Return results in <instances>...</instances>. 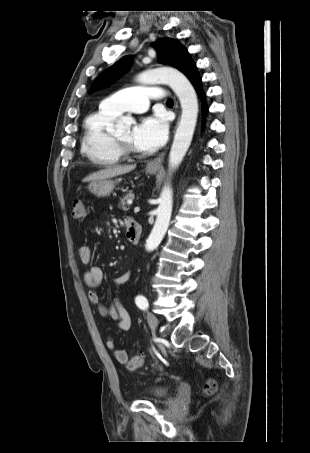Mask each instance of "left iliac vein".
Instances as JSON below:
<instances>
[{
  "instance_id": "left-iliac-vein-1",
  "label": "left iliac vein",
  "mask_w": 310,
  "mask_h": 453,
  "mask_svg": "<svg viewBox=\"0 0 310 453\" xmlns=\"http://www.w3.org/2000/svg\"><path fill=\"white\" fill-rule=\"evenodd\" d=\"M147 321H148V324L151 327V329L155 330L157 328L158 319L153 313H151V312L147 313Z\"/></svg>"
}]
</instances>
